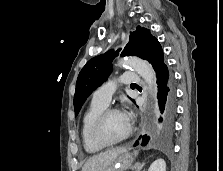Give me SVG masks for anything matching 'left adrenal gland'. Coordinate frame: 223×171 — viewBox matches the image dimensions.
<instances>
[{
    "instance_id": "a2214340",
    "label": "left adrenal gland",
    "mask_w": 223,
    "mask_h": 171,
    "mask_svg": "<svg viewBox=\"0 0 223 171\" xmlns=\"http://www.w3.org/2000/svg\"><path fill=\"white\" fill-rule=\"evenodd\" d=\"M143 167H144V163L136 162L135 165L133 166V169L134 171H141Z\"/></svg>"
}]
</instances>
